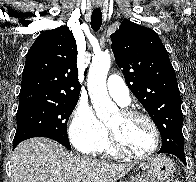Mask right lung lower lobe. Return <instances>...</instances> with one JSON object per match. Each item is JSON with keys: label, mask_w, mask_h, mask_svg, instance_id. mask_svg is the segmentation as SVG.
I'll use <instances>...</instances> for the list:
<instances>
[{"label": "right lung lower lobe", "mask_w": 196, "mask_h": 182, "mask_svg": "<svg viewBox=\"0 0 196 182\" xmlns=\"http://www.w3.org/2000/svg\"><path fill=\"white\" fill-rule=\"evenodd\" d=\"M48 138H50V137H48ZM51 139H54V138H51ZM54 140H55V139H54ZM17 145H18V144H16V145H13V148H15Z\"/></svg>", "instance_id": "right-lung-lower-lobe-1"}]
</instances>
